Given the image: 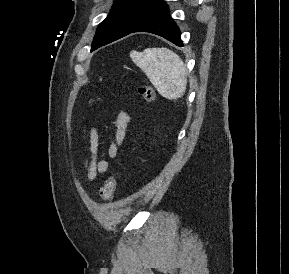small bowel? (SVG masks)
Masks as SVG:
<instances>
[{"label":"small bowel","mask_w":289,"mask_h":274,"mask_svg":"<svg viewBox=\"0 0 289 274\" xmlns=\"http://www.w3.org/2000/svg\"><path fill=\"white\" fill-rule=\"evenodd\" d=\"M131 116L125 111H119L114 123V136L108 147V156L112 159L117 157L118 150L123 144L128 128L131 124ZM99 133L96 127L89 131V149L84 155L83 165L86 178L93 182L98 174H104L108 170V162L99 154Z\"/></svg>","instance_id":"small-bowel-1"}]
</instances>
